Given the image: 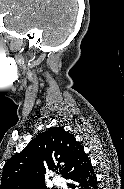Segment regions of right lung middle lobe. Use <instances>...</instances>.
Masks as SVG:
<instances>
[{"mask_svg":"<svg viewBox=\"0 0 124 189\" xmlns=\"http://www.w3.org/2000/svg\"><path fill=\"white\" fill-rule=\"evenodd\" d=\"M38 189H47V187L46 186H42V187H40Z\"/></svg>","mask_w":124,"mask_h":189,"instance_id":"dd1d6c3e","label":"right lung middle lobe"}]
</instances>
